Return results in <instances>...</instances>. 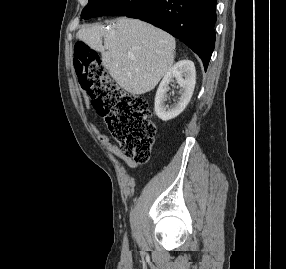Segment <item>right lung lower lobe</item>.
I'll use <instances>...</instances> for the list:
<instances>
[{
	"label": "right lung lower lobe",
	"mask_w": 286,
	"mask_h": 269,
	"mask_svg": "<svg viewBox=\"0 0 286 269\" xmlns=\"http://www.w3.org/2000/svg\"><path fill=\"white\" fill-rule=\"evenodd\" d=\"M127 17L172 34L189 46L207 69L215 46L216 0H151Z\"/></svg>",
	"instance_id": "98d812e1"
}]
</instances>
